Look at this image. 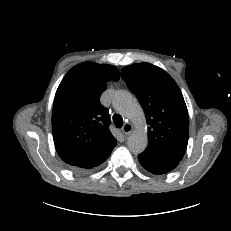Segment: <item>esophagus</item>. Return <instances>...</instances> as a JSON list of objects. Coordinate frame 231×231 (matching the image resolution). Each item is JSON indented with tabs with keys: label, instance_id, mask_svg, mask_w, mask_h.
Masks as SVG:
<instances>
[{
	"label": "esophagus",
	"instance_id": "1",
	"mask_svg": "<svg viewBox=\"0 0 231 231\" xmlns=\"http://www.w3.org/2000/svg\"><path fill=\"white\" fill-rule=\"evenodd\" d=\"M122 132L125 135H130L133 132V126L130 123H126L122 128Z\"/></svg>",
	"mask_w": 231,
	"mask_h": 231
}]
</instances>
